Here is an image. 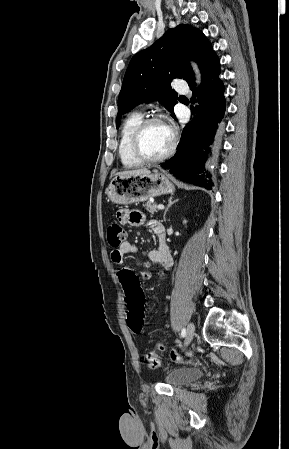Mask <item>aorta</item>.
Masks as SVG:
<instances>
[{
  "label": "aorta",
  "mask_w": 289,
  "mask_h": 449,
  "mask_svg": "<svg viewBox=\"0 0 289 449\" xmlns=\"http://www.w3.org/2000/svg\"><path fill=\"white\" fill-rule=\"evenodd\" d=\"M192 65H193V69H194V71L196 73L197 82L199 83L200 82L199 81L200 80V73H199L198 67H197V65L195 63H192Z\"/></svg>",
  "instance_id": "762f6f07"
}]
</instances>
